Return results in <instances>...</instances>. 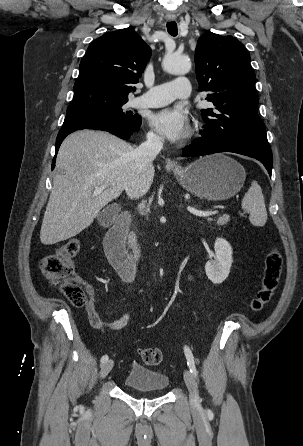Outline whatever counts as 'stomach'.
<instances>
[{"label": "stomach", "mask_w": 303, "mask_h": 446, "mask_svg": "<svg viewBox=\"0 0 303 446\" xmlns=\"http://www.w3.org/2000/svg\"><path fill=\"white\" fill-rule=\"evenodd\" d=\"M173 172L187 191L212 201L233 197L246 178L244 167L223 154L201 157L186 167H175Z\"/></svg>", "instance_id": "0dacf381"}]
</instances>
